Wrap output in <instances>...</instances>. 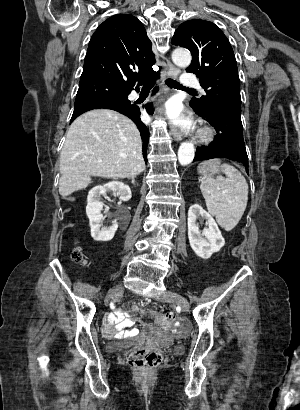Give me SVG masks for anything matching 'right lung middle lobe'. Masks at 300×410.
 Masks as SVG:
<instances>
[{"mask_svg":"<svg viewBox=\"0 0 300 410\" xmlns=\"http://www.w3.org/2000/svg\"><path fill=\"white\" fill-rule=\"evenodd\" d=\"M126 91L102 82H80L76 95L75 106L95 100H110L120 103H129Z\"/></svg>","mask_w":300,"mask_h":410,"instance_id":"obj_1","label":"right lung middle lobe"}]
</instances>
